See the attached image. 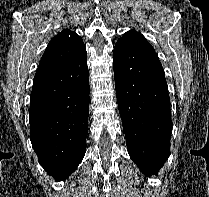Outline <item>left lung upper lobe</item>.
I'll use <instances>...</instances> for the list:
<instances>
[{
	"instance_id": "left-lung-upper-lobe-1",
	"label": "left lung upper lobe",
	"mask_w": 209,
	"mask_h": 197,
	"mask_svg": "<svg viewBox=\"0 0 209 197\" xmlns=\"http://www.w3.org/2000/svg\"><path fill=\"white\" fill-rule=\"evenodd\" d=\"M118 43H133L142 47L154 50V48L148 43L146 38L139 32L130 30L123 34V36L117 41Z\"/></svg>"
}]
</instances>
